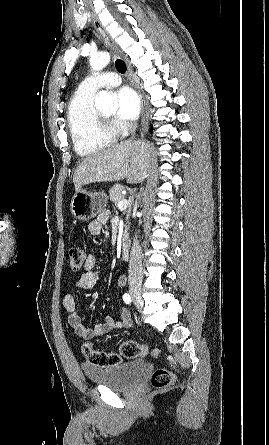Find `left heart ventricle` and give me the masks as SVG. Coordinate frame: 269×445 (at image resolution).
Wrapping results in <instances>:
<instances>
[{
	"label": "left heart ventricle",
	"mask_w": 269,
	"mask_h": 445,
	"mask_svg": "<svg viewBox=\"0 0 269 445\" xmlns=\"http://www.w3.org/2000/svg\"><path fill=\"white\" fill-rule=\"evenodd\" d=\"M112 113H105L106 116H110Z\"/></svg>",
	"instance_id": "left-heart-ventricle-1"
}]
</instances>
